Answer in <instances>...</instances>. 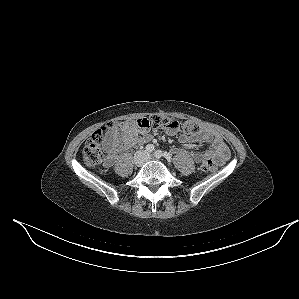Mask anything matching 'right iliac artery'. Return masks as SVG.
Listing matches in <instances>:
<instances>
[{
	"instance_id": "right-iliac-artery-1",
	"label": "right iliac artery",
	"mask_w": 299,
	"mask_h": 299,
	"mask_svg": "<svg viewBox=\"0 0 299 299\" xmlns=\"http://www.w3.org/2000/svg\"><path fill=\"white\" fill-rule=\"evenodd\" d=\"M154 150H155V146H154V145L149 144V145L146 146V151H147V152L151 153V152H153Z\"/></svg>"
}]
</instances>
